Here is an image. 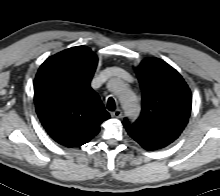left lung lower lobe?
<instances>
[{
  "label": "left lung lower lobe",
  "mask_w": 220,
  "mask_h": 196,
  "mask_svg": "<svg viewBox=\"0 0 220 196\" xmlns=\"http://www.w3.org/2000/svg\"><path fill=\"white\" fill-rule=\"evenodd\" d=\"M135 141H137L139 144H140V141L133 135V134H129ZM141 145V144H140ZM144 149H146V150H149V149H147V147L146 146H144V145H141Z\"/></svg>",
  "instance_id": "0a47b994"
}]
</instances>
